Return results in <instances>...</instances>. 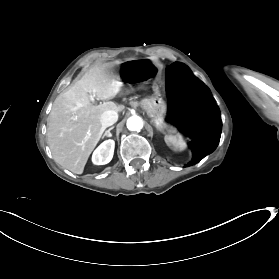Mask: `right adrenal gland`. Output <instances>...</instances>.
Segmentation results:
<instances>
[{"label": "right adrenal gland", "instance_id": "right-adrenal-gland-1", "mask_svg": "<svg viewBox=\"0 0 279 279\" xmlns=\"http://www.w3.org/2000/svg\"><path fill=\"white\" fill-rule=\"evenodd\" d=\"M114 127H115V126L110 127V128L104 133L103 137H105V136L111 137L112 134L110 133V131H111L112 129H114Z\"/></svg>", "mask_w": 279, "mask_h": 279}]
</instances>
